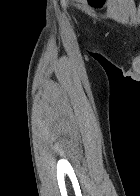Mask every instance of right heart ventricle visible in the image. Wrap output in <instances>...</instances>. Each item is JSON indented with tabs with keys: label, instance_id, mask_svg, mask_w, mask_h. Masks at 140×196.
Here are the masks:
<instances>
[{
	"label": "right heart ventricle",
	"instance_id": "obj_1",
	"mask_svg": "<svg viewBox=\"0 0 140 196\" xmlns=\"http://www.w3.org/2000/svg\"><path fill=\"white\" fill-rule=\"evenodd\" d=\"M93 192H111V191H93Z\"/></svg>",
	"mask_w": 140,
	"mask_h": 196
}]
</instances>
